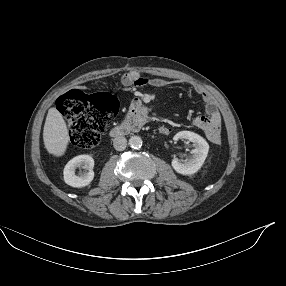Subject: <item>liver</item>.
Wrapping results in <instances>:
<instances>
[{
	"label": "liver",
	"mask_w": 286,
	"mask_h": 286,
	"mask_svg": "<svg viewBox=\"0 0 286 286\" xmlns=\"http://www.w3.org/2000/svg\"><path fill=\"white\" fill-rule=\"evenodd\" d=\"M43 141L48 153L61 157L69 144V133L63 116L56 108H50L46 117Z\"/></svg>",
	"instance_id": "obj_1"
}]
</instances>
